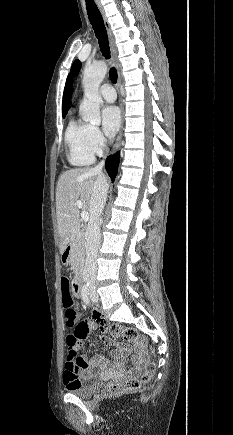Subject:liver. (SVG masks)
<instances>
[{
  "label": "liver",
  "mask_w": 233,
  "mask_h": 435,
  "mask_svg": "<svg viewBox=\"0 0 233 435\" xmlns=\"http://www.w3.org/2000/svg\"><path fill=\"white\" fill-rule=\"evenodd\" d=\"M98 175L89 168H75L61 174L56 187V213L62 254L67 245L76 239L80 230V211L76 202L83 203L89 211L94 183Z\"/></svg>",
  "instance_id": "1"
}]
</instances>
